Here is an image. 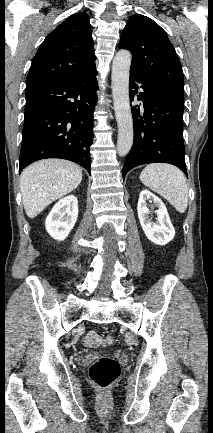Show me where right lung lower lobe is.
<instances>
[{
    "instance_id": "right-lung-lower-lobe-1",
    "label": "right lung lower lobe",
    "mask_w": 213,
    "mask_h": 433,
    "mask_svg": "<svg viewBox=\"0 0 213 433\" xmlns=\"http://www.w3.org/2000/svg\"><path fill=\"white\" fill-rule=\"evenodd\" d=\"M96 67L68 81L26 85L20 172L40 159L71 160L90 173Z\"/></svg>"
}]
</instances>
